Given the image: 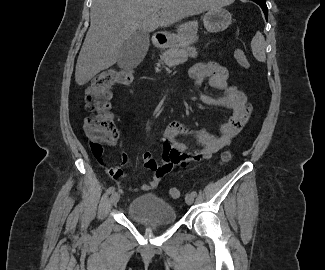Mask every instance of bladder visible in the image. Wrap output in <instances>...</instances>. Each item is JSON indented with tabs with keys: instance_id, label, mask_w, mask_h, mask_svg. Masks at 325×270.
I'll list each match as a JSON object with an SVG mask.
<instances>
[{
	"instance_id": "bladder-1",
	"label": "bladder",
	"mask_w": 325,
	"mask_h": 270,
	"mask_svg": "<svg viewBox=\"0 0 325 270\" xmlns=\"http://www.w3.org/2000/svg\"><path fill=\"white\" fill-rule=\"evenodd\" d=\"M126 211L131 219L149 226L170 225L177 221L174 207L155 194H144L134 198Z\"/></svg>"
}]
</instances>
